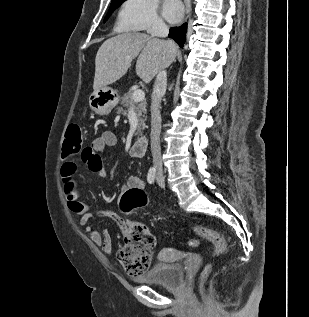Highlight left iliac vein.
Here are the masks:
<instances>
[{
    "instance_id": "left-iliac-vein-1",
    "label": "left iliac vein",
    "mask_w": 309,
    "mask_h": 317,
    "mask_svg": "<svg viewBox=\"0 0 309 317\" xmlns=\"http://www.w3.org/2000/svg\"><path fill=\"white\" fill-rule=\"evenodd\" d=\"M157 183L159 184V186L164 187L165 186V182H164V177L162 174H158L157 175Z\"/></svg>"
}]
</instances>
